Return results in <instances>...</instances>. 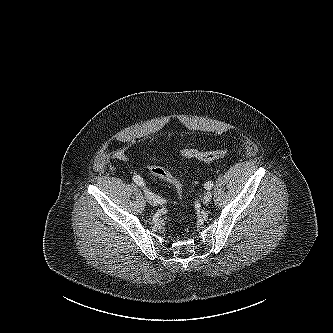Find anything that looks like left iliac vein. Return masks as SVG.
Wrapping results in <instances>:
<instances>
[{
    "mask_svg": "<svg viewBox=\"0 0 333 333\" xmlns=\"http://www.w3.org/2000/svg\"><path fill=\"white\" fill-rule=\"evenodd\" d=\"M212 199V193L210 191L206 192L203 196V203L208 204Z\"/></svg>",
    "mask_w": 333,
    "mask_h": 333,
    "instance_id": "4c4485c4",
    "label": "left iliac vein"
}]
</instances>
